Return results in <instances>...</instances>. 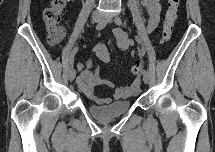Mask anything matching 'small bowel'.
<instances>
[{
    "mask_svg": "<svg viewBox=\"0 0 215 152\" xmlns=\"http://www.w3.org/2000/svg\"><path fill=\"white\" fill-rule=\"evenodd\" d=\"M140 3L146 9L148 16L146 30L151 33L156 29L159 23L161 5L158 0H142ZM113 35L119 50L126 51L133 46V41L124 30L116 28L113 31ZM94 58H97L103 63H109L111 61V53L104 42H97L92 47V57H90L85 64H77L78 85L90 100L99 104L111 102V98L100 97L96 93L95 88L97 86H105L114 89L113 99L115 100L137 95L140 92L141 83L139 80H136L130 87L114 88L110 81L101 76L98 68L94 67Z\"/></svg>",
    "mask_w": 215,
    "mask_h": 152,
    "instance_id": "1",
    "label": "small bowel"
}]
</instances>
